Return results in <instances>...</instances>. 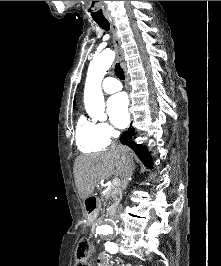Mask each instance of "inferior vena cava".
<instances>
[{
  "label": "inferior vena cava",
  "mask_w": 221,
  "mask_h": 266,
  "mask_svg": "<svg viewBox=\"0 0 221 266\" xmlns=\"http://www.w3.org/2000/svg\"><path fill=\"white\" fill-rule=\"evenodd\" d=\"M120 147V146H118ZM122 161L124 163V173L122 175V188H125L129 177L132 175L133 170V160L130 156L122 154Z\"/></svg>",
  "instance_id": "inferior-vena-cava-1"
}]
</instances>
